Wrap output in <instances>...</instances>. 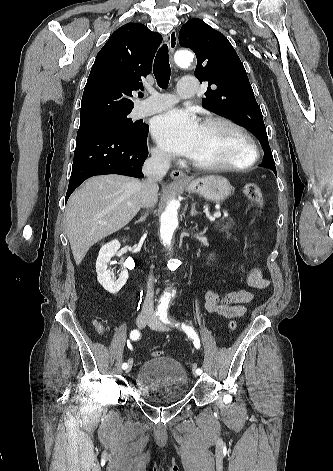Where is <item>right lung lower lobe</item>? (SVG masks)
Segmentation results:
<instances>
[{"label":"right lung lower lobe","instance_id":"1","mask_svg":"<svg viewBox=\"0 0 333 471\" xmlns=\"http://www.w3.org/2000/svg\"><path fill=\"white\" fill-rule=\"evenodd\" d=\"M148 125L139 134L113 128L78 130L72 173L65 201L87 178L120 174L142 178L141 167L148 156Z\"/></svg>","mask_w":333,"mask_h":471}]
</instances>
